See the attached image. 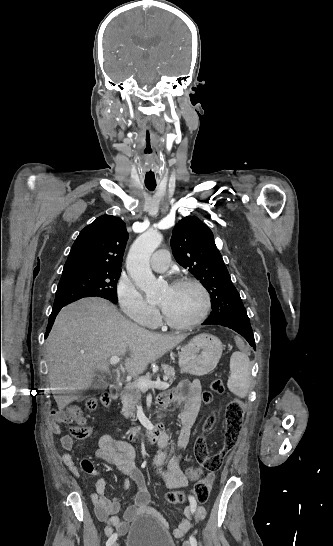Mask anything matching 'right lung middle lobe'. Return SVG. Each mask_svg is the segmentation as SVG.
<instances>
[{"instance_id":"right-lung-middle-lobe-1","label":"right lung middle lobe","mask_w":333,"mask_h":546,"mask_svg":"<svg viewBox=\"0 0 333 546\" xmlns=\"http://www.w3.org/2000/svg\"><path fill=\"white\" fill-rule=\"evenodd\" d=\"M121 270L75 272L62 275L53 308L63 307L84 297H102L117 303L116 286Z\"/></svg>"}]
</instances>
